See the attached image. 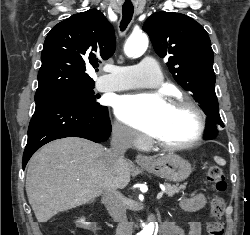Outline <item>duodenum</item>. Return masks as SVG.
<instances>
[{
  "label": "duodenum",
  "mask_w": 250,
  "mask_h": 235,
  "mask_svg": "<svg viewBox=\"0 0 250 235\" xmlns=\"http://www.w3.org/2000/svg\"><path fill=\"white\" fill-rule=\"evenodd\" d=\"M151 220H153V221H154V220H155V217H154V216H152V217H151Z\"/></svg>",
  "instance_id": "obj_1"
}]
</instances>
